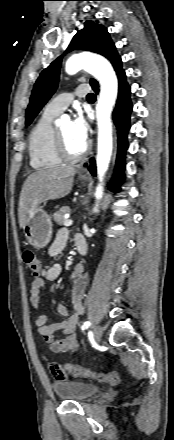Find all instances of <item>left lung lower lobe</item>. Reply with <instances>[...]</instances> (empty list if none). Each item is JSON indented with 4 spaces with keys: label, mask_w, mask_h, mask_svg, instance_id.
<instances>
[{
    "label": "left lung lower lobe",
    "mask_w": 174,
    "mask_h": 440,
    "mask_svg": "<svg viewBox=\"0 0 174 440\" xmlns=\"http://www.w3.org/2000/svg\"><path fill=\"white\" fill-rule=\"evenodd\" d=\"M111 63L116 71L119 81V92L116 103V108L113 113V119L118 130V155L115 168V176L112 181L110 189L114 192L119 191L120 182L123 180V168L125 151L128 148L127 133L130 129V113L132 111V104L130 101V86L126 81V74L122 69V61L117 54L111 60ZM93 90L98 93V83L91 84ZM89 171L93 176H96V166L94 159L90 160Z\"/></svg>",
    "instance_id": "left-lung-lower-lobe-1"
}]
</instances>
